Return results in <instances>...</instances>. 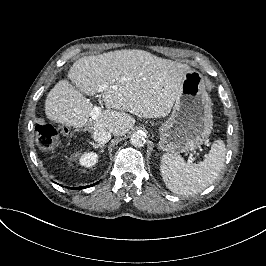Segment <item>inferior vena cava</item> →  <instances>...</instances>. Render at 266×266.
<instances>
[{"mask_svg":"<svg viewBox=\"0 0 266 266\" xmlns=\"http://www.w3.org/2000/svg\"><path fill=\"white\" fill-rule=\"evenodd\" d=\"M92 137L96 142L100 144H105L111 139L112 135L107 130H94L92 133Z\"/></svg>","mask_w":266,"mask_h":266,"instance_id":"obj_1","label":"inferior vena cava"}]
</instances>
